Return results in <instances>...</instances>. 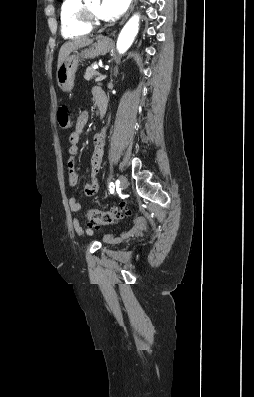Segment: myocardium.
Returning a JSON list of instances; mask_svg holds the SVG:
<instances>
[{
  "mask_svg": "<svg viewBox=\"0 0 254 397\" xmlns=\"http://www.w3.org/2000/svg\"><path fill=\"white\" fill-rule=\"evenodd\" d=\"M81 19L90 29H95L103 25L101 18H99L85 3L82 5Z\"/></svg>",
  "mask_w": 254,
  "mask_h": 397,
  "instance_id": "f54148a6",
  "label": "myocardium"
}]
</instances>
